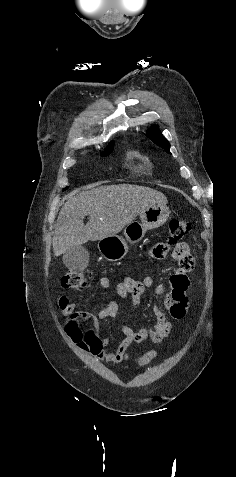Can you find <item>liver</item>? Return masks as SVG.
Listing matches in <instances>:
<instances>
[{"mask_svg": "<svg viewBox=\"0 0 236 477\" xmlns=\"http://www.w3.org/2000/svg\"><path fill=\"white\" fill-rule=\"evenodd\" d=\"M167 204L161 192L137 185H108L73 192L59 212L52 246L56 257L73 246L116 235L151 205ZM89 216L84 225L83 219Z\"/></svg>", "mask_w": 236, "mask_h": 477, "instance_id": "liver-1", "label": "liver"}]
</instances>
